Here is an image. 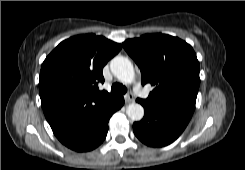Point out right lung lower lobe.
I'll use <instances>...</instances> for the list:
<instances>
[{
	"mask_svg": "<svg viewBox=\"0 0 245 170\" xmlns=\"http://www.w3.org/2000/svg\"><path fill=\"white\" fill-rule=\"evenodd\" d=\"M123 104L124 98L117 96L111 103L100 110L81 133L64 143V145L78 152L90 151L98 147L107 135L109 118Z\"/></svg>",
	"mask_w": 245,
	"mask_h": 170,
	"instance_id": "98d812e1",
	"label": "right lung lower lobe"
}]
</instances>
